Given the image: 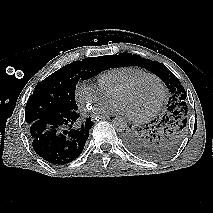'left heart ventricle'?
I'll use <instances>...</instances> for the list:
<instances>
[{
	"label": "left heart ventricle",
	"mask_w": 213,
	"mask_h": 213,
	"mask_svg": "<svg viewBox=\"0 0 213 213\" xmlns=\"http://www.w3.org/2000/svg\"><path fill=\"white\" fill-rule=\"evenodd\" d=\"M161 97L159 83L147 78L133 88L119 93L114 100L122 103L129 115H142L153 109Z\"/></svg>",
	"instance_id": "left-heart-ventricle-1"
}]
</instances>
